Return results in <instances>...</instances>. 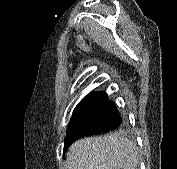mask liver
<instances>
[{
  "mask_svg": "<svg viewBox=\"0 0 177 169\" xmlns=\"http://www.w3.org/2000/svg\"><path fill=\"white\" fill-rule=\"evenodd\" d=\"M136 145L117 134L76 141L66 153V169H135Z\"/></svg>",
  "mask_w": 177,
  "mask_h": 169,
  "instance_id": "1",
  "label": "liver"
}]
</instances>
